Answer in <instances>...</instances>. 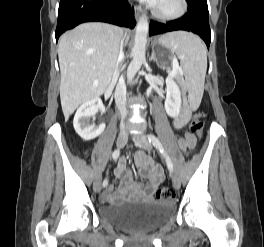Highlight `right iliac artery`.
I'll return each mask as SVG.
<instances>
[{
	"mask_svg": "<svg viewBox=\"0 0 264 247\" xmlns=\"http://www.w3.org/2000/svg\"><path fill=\"white\" fill-rule=\"evenodd\" d=\"M119 155H120V150H119V149L114 150V152L112 153V158H113V160H117V158L119 157ZM107 185H108V180L105 179V180L103 181V186L105 187V186H107Z\"/></svg>",
	"mask_w": 264,
	"mask_h": 247,
	"instance_id": "obj_1",
	"label": "right iliac artery"
}]
</instances>
